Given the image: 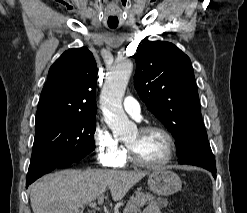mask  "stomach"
Listing matches in <instances>:
<instances>
[{
    "mask_svg": "<svg viewBox=\"0 0 247 213\" xmlns=\"http://www.w3.org/2000/svg\"><path fill=\"white\" fill-rule=\"evenodd\" d=\"M148 185L154 193L169 196L181 189L182 182L176 173L163 168L149 174Z\"/></svg>",
    "mask_w": 247,
    "mask_h": 213,
    "instance_id": "1",
    "label": "stomach"
}]
</instances>
